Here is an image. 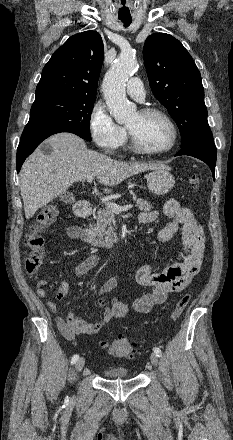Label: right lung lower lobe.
Listing matches in <instances>:
<instances>
[{"label": "right lung lower lobe", "instance_id": "98d812e1", "mask_svg": "<svg viewBox=\"0 0 233 440\" xmlns=\"http://www.w3.org/2000/svg\"><path fill=\"white\" fill-rule=\"evenodd\" d=\"M60 132H71L78 135L75 131L66 128L26 126L17 149V172L20 171L26 157H28L44 139Z\"/></svg>", "mask_w": 233, "mask_h": 440}]
</instances>
